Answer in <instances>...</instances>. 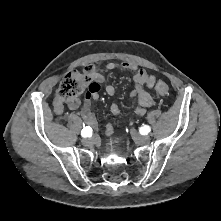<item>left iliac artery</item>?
Wrapping results in <instances>:
<instances>
[{
	"label": "left iliac artery",
	"mask_w": 221,
	"mask_h": 221,
	"mask_svg": "<svg viewBox=\"0 0 221 221\" xmlns=\"http://www.w3.org/2000/svg\"><path fill=\"white\" fill-rule=\"evenodd\" d=\"M151 131V127L148 125H144L140 128V133L142 135L148 134Z\"/></svg>",
	"instance_id": "44dca946"
}]
</instances>
